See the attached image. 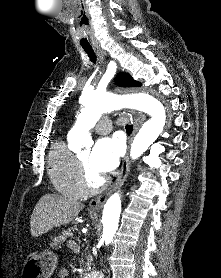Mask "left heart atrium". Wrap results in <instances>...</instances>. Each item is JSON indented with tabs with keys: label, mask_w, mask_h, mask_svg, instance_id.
<instances>
[{
	"label": "left heart atrium",
	"mask_w": 221,
	"mask_h": 278,
	"mask_svg": "<svg viewBox=\"0 0 221 278\" xmlns=\"http://www.w3.org/2000/svg\"><path fill=\"white\" fill-rule=\"evenodd\" d=\"M122 145L116 138L98 140L90 154V166L99 175L112 172L119 163Z\"/></svg>",
	"instance_id": "obj_1"
}]
</instances>
